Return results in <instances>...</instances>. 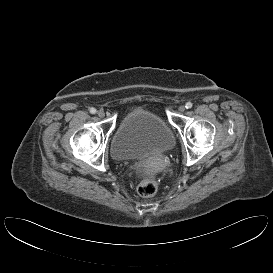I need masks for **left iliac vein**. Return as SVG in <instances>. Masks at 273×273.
Segmentation results:
<instances>
[{
	"label": "left iliac vein",
	"instance_id": "left-iliac-vein-1",
	"mask_svg": "<svg viewBox=\"0 0 273 273\" xmlns=\"http://www.w3.org/2000/svg\"><path fill=\"white\" fill-rule=\"evenodd\" d=\"M178 110L181 113L184 112L185 111V106H183V105L179 106Z\"/></svg>",
	"mask_w": 273,
	"mask_h": 273
}]
</instances>
